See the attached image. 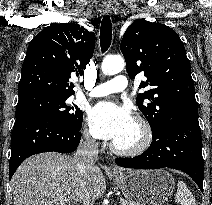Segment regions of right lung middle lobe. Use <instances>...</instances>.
<instances>
[{
	"label": "right lung middle lobe",
	"instance_id": "right-lung-middle-lobe-1",
	"mask_svg": "<svg viewBox=\"0 0 212 205\" xmlns=\"http://www.w3.org/2000/svg\"><path fill=\"white\" fill-rule=\"evenodd\" d=\"M69 95H56L50 93H35L20 97L16 109V118L26 115L42 114L54 117L67 125L80 128L83 113L73 104L69 105Z\"/></svg>",
	"mask_w": 212,
	"mask_h": 205
}]
</instances>
